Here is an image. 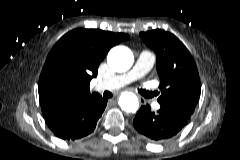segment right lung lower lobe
Segmentation results:
<instances>
[{
	"mask_svg": "<svg viewBox=\"0 0 240 160\" xmlns=\"http://www.w3.org/2000/svg\"><path fill=\"white\" fill-rule=\"evenodd\" d=\"M106 104L107 99L94 94L45 116V122L55 136L63 140L80 139L94 131Z\"/></svg>",
	"mask_w": 240,
	"mask_h": 160,
	"instance_id": "obj_1",
	"label": "right lung lower lobe"
}]
</instances>
